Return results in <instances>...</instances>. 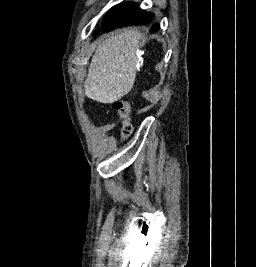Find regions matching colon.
<instances>
[{"label":"colon","instance_id":"obj_1","mask_svg":"<svg viewBox=\"0 0 256 267\" xmlns=\"http://www.w3.org/2000/svg\"><path fill=\"white\" fill-rule=\"evenodd\" d=\"M113 108L118 111L123 117V136H128L132 131V126L129 121L130 105L126 101H117L113 104Z\"/></svg>","mask_w":256,"mask_h":267}]
</instances>
